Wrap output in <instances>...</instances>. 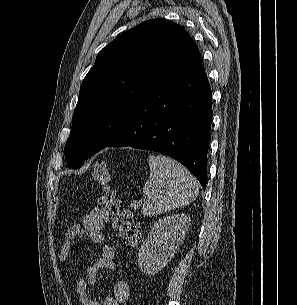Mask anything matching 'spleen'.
<instances>
[{"label":"spleen","mask_w":297,"mask_h":305,"mask_svg":"<svg viewBox=\"0 0 297 305\" xmlns=\"http://www.w3.org/2000/svg\"><path fill=\"white\" fill-rule=\"evenodd\" d=\"M150 176L143 187L142 214L156 216L193 202L199 185L180 163L163 155L149 156Z\"/></svg>","instance_id":"spleen-1"}]
</instances>
